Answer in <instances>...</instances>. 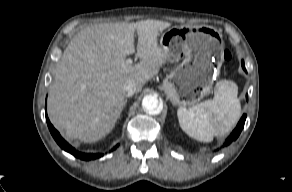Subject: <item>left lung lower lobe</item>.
Listing matches in <instances>:
<instances>
[{"label":"left lung lower lobe","mask_w":292,"mask_h":192,"mask_svg":"<svg viewBox=\"0 0 292 192\" xmlns=\"http://www.w3.org/2000/svg\"><path fill=\"white\" fill-rule=\"evenodd\" d=\"M242 68L246 71L245 66H244V61H242ZM246 98H248V97L246 96ZM245 120H246V115L244 114L242 116V118L240 119L237 127L234 129V131L231 133V135L229 136V138L225 142V145H229L232 141H234L238 138L239 134L241 133V131L244 127Z\"/></svg>","instance_id":"1"}]
</instances>
